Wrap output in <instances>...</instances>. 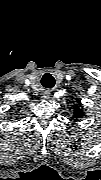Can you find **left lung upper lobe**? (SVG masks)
<instances>
[{
    "label": "left lung upper lobe",
    "instance_id": "obj_1",
    "mask_svg": "<svg viewBox=\"0 0 101 180\" xmlns=\"http://www.w3.org/2000/svg\"><path fill=\"white\" fill-rule=\"evenodd\" d=\"M83 112L81 111V109L79 108V106H76L74 108V117L76 119L80 118L82 116Z\"/></svg>",
    "mask_w": 101,
    "mask_h": 180
}]
</instances>
